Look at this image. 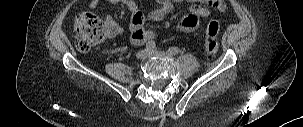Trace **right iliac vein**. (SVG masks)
Listing matches in <instances>:
<instances>
[{
    "instance_id": "63e3f726",
    "label": "right iliac vein",
    "mask_w": 303,
    "mask_h": 127,
    "mask_svg": "<svg viewBox=\"0 0 303 127\" xmlns=\"http://www.w3.org/2000/svg\"><path fill=\"white\" fill-rule=\"evenodd\" d=\"M147 57H148V50H146V49L140 50L136 54V58L139 59V60H144Z\"/></svg>"
}]
</instances>
